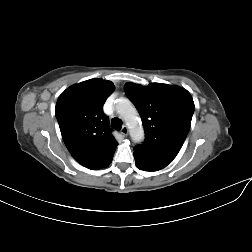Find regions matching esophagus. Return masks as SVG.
I'll return each instance as SVG.
<instances>
[{"mask_svg":"<svg viewBox=\"0 0 252 252\" xmlns=\"http://www.w3.org/2000/svg\"><path fill=\"white\" fill-rule=\"evenodd\" d=\"M121 134L123 136H127L128 135V127L127 126H123L121 129Z\"/></svg>","mask_w":252,"mask_h":252,"instance_id":"esophagus-1","label":"esophagus"}]
</instances>
